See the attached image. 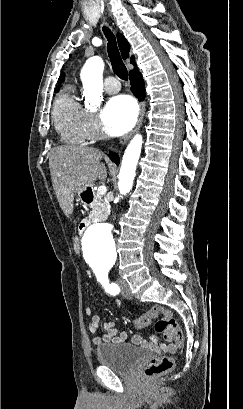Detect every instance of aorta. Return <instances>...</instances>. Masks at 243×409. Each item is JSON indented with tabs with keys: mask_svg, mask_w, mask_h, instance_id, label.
I'll return each instance as SVG.
<instances>
[{
	"mask_svg": "<svg viewBox=\"0 0 243 409\" xmlns=\"http://www.w3.org/2000/svg\"><path fill=\"white\" fill-rule=\"evenodd\" d=\"M104 62L98 57L89 58L81 70L83 95L91 107H98L102 101ZM142 148V136L137 134L127 146L119 173L118 188L121 195L130 192L133 186L136 166ZM82 248L87 259L103 260L116 253L112 227L109 224H92L84 232Z\"/></svg>",
	"mask_w": 243,
	"mask_h": 409,
	"instance_id": "obj_1",
	"label": "aorta"
}]
</instances>
